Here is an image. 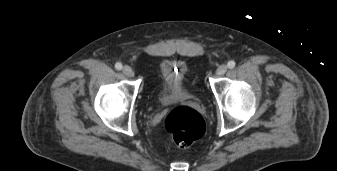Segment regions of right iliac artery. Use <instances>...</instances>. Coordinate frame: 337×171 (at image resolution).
I'll return each mask as SVG.
<instances>
[{
    "label": "right iliac artery",
    "mask_w": 337,
    "mask_h": 171,
    "mask_svg": "<svg viewBox=\"0 0 337 171\" xmlns=\"http://www.w3.org/2000/svg\"><path fill=\"white\" fill-rule=\"evenodd\" d=\"M115 68L117 69V70H121L122 69V64L121 63H116L115 64Z\"/></svg>",
    "instance_id": "1"
}]
</instances>
